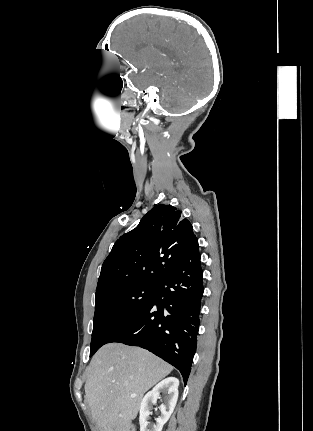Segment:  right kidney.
Segmentation results:
<instances>
[{"label":"right kidney","mask_w":313,"mask_h":431,"mask_svg":"<svg viewBox=\"0 0 313 431\" xmlns=\"http://www.w3.org/2000/svg\"><path fill=\"white\" fill-rule=\"evenodd\" d=\"M179 381L175 377H168L159 382L150 392H148L140 404V431H162L163 425L170 418L177 399H178ZM166 393L164 404L160 405L161 415L156 419V424L149 425L148 418L152 414V405H155L160 392Z\"/></svg>","instance_id":"right-kidney-1"}]
</instances>
